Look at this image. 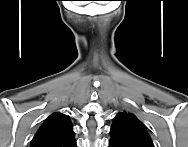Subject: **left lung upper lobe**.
Listing matches in <instances>:
<instances>
[{
    "mask_svg": "<svg viewBox=\"0 0 188 147\" xmlns=\"http://www.w3.org/2000/svg\"><path fill=\"white\" fill-rule=\"evenodd\" d=\"M110 134V147H154L146 127L127 111L116 114Z\"/></svg>",
    "mask_w": 188,
    "mask_h": 147,
    "instance_id": "5c2ea615",
    "label": "left lung upper lobe"
}]
</instances>
